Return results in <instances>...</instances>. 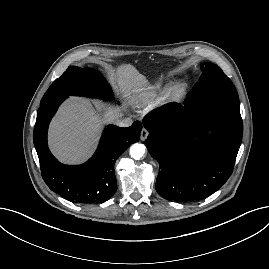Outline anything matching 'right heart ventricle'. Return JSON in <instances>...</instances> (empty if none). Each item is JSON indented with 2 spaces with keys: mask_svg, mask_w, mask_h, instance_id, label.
<instances>
[{
  "mask_svg": "<svg viewBox=\"0 0 269 269\" xmlns=\"http://www.w3.org/2000/svg\"><path fill=\"white\" fill-rule=\"evenodd\" d=\"M162 86L163 83L161 82L153 84L149 90H147L145 93L139 96L138 101L140 103H146L149 100L153 99L157 95V93L161 90Z\"/></svg>",
  "mask_w": 269,
  "mask_h": 269,
  "instance_id": "right-heart-ventricle-1",
  "label": "right heart ventricle"
}]
</instances>
